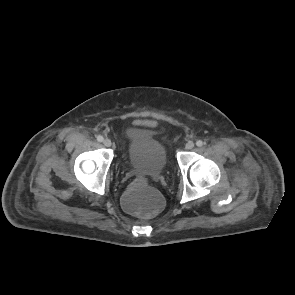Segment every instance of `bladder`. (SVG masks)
Listing matches in <instances>:
<instances>
[{
	"label": "bladder",
	"instance_id": "obj_1",
	"mask_svg": "<svg viewBox=\"0 0 295 295\" xmlns=\"http://www.w3.org/2000/svg\"><path fill=\"white\" fill-rule=\"evenodd\" d=\"M160 125L141 123L125 130V159L131 165L162 170L168 162V150Z\"/></svg>",
	"mask_w": 295,
	"mask_h": 295
}]
</instances>
